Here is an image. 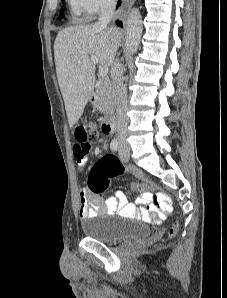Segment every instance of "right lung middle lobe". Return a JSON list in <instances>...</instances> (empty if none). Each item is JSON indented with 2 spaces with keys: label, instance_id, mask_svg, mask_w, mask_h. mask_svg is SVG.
Wrapping results in <instances>:
<instances>
[{
  "label": "right lung middle lobe",
  "instance_id": "1",
  "mask_svg": "<svg viewBox=\"0 0 227 298\" xmlns=\"http://www.w3.org/2000/svg\"><path fill=\"white\" fill-rule=\"evenodd\" d=\"M62 1H64V0H62ZM61 17H63V14H62V12H61Z\"/></svg>",
  "mask_w": 227,
  "mask_h": 298
}]
</instances>
